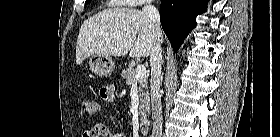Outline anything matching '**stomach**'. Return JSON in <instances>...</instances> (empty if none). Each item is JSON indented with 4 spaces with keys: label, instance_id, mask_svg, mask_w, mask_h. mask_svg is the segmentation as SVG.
I'll use <instances>...</instances> for the list:
<instances>
[{
    "label": "stomach",
    "instance_id": "0dacf381",
    "mask_svg": "<svg viewBox=\"0 0 280 137\" xmlns=\"http://www.w3.org/2000/svg\"><path fill=\"white\" fill-rule=\"evenodd\" d=\"M90 70L97 76L109 77L115 69L111 57L92 55L89 60Z\"/></svg>",
    "mask_w": 280,
    "mask_h": 137
}]
</instances>
